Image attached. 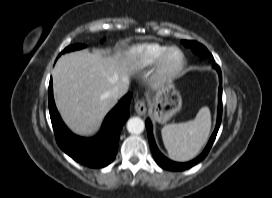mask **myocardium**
<instances>
[{
    "label": "myocardium",
    "instance_id": "f54148a6",
    "mask_svg": "<svg viewBox=\"0 0 272 198\" xmlns=\"http://www.w3.org/2000/svg\"><path fill=\"white\" fill-rule=\"evenodd\" d=\"M175 51L179 52L180 54V62L176 67L169 68L168 67L169 56ZM185 66L186 57L184 52L178 47H169L156 63V67L153 73L154 79L160 83L172 82L182 74V72L185 69Z\"/></svg>",
    "mask_w": 272,
    "mask_h": 198
}]
</instances>
